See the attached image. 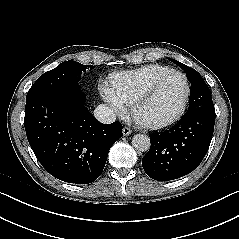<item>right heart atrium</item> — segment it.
Listing matches in <instances>:
<instances>
[{
  "mask_svg": "<svg viewBox=\"0 0 239 239\" xmlns=\"http://www.w3.org/2000/svg\"><path fill=\"white\" fill-rule=\"evenodd\" d=\"M101 94L113 112L119 116L126 113V105L117 97L111 87L102 86Z\"/></svg>",
  "mask_w": 239,
  "mask_h": 239,
  "instance_id": "obj_1",
  "label": "right heart atrium"
}]
</instances>
